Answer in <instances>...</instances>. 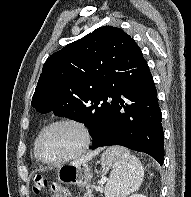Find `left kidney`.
<instances>
[{"mask_svg":"<svg viewBox=\"0 0 191 197\" xmlns=\"http://www.w3.org/2000/svg\"><path fill=\"white\" fill-rule=\"evenodd\" d=\"M129 197H146L145 195L143 194H138V193H135V194H132L131 196Z\"/></svg>","mask_w":191,"mask_h":197,"instance_id":"obj_1","label":"left kidney"}]
</instances>
